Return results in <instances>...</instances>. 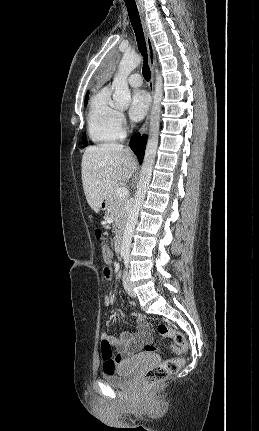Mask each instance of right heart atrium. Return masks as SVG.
Masks as SVG:
<instances>
[{
    "label": "right heart atrium",
    "mask_w": 259,
    "mask_h": 431,
    "mask_svg": "<svg viewBox=\"0 0 259 431\" xmlns=\"http://www.w3.org/2000/svg\"><path fill=\"white\" fill-rule=\"evenodd\" d=\"M117 122L121 127L126 123V118L122 112H117Z\"/></svg>",
    "instance_id": "obj_1"
}]
</instances>
